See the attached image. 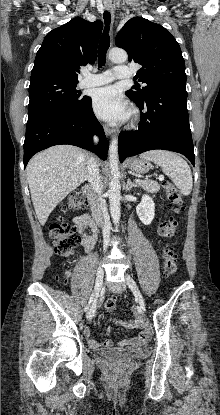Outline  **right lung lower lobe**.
Returning a JSON list of instances; mask_svg holds the SVG:
<instances>
[{
    "label": "right lung lower lobe",
    "instance_id": "obj_1",
    "mask_svg": "<svg viewBox=\"0 0 220 415\" xmlns=\"http://www.w3.org/2000/svg\"><path fill=\"white\" fill-rule=\"evenodd\" d=\"M99 136V144L93 146L92 136ZM58 144H70L88 149L106 160L108 141L97 121L91 98L75 113L54 109L32 120H28L24 141V167L37 152Z\"/></svg>",
    "mask_w": 220,
    "mask_h": 415
}]
</instances>
